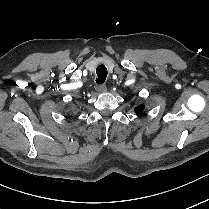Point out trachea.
I'll return each mask as SVG.
<instances>
[{"instance_id": "1", "label": "trachea", "mask_w": 209, "mask_h": 209, "mask_svg": "<svg viewBox=\"0 0 209 209\" xmlns=\"http://www.w3.org/2000/svg\"><path fill=\"white\" fill-rule=\"evenodd\" d=\"M107 68L105 65L101 64L96 68V74H97V78H96V83L98 85H101L104 83V81L106 80L107 77Z\"/></svg>"}]
</instances>
